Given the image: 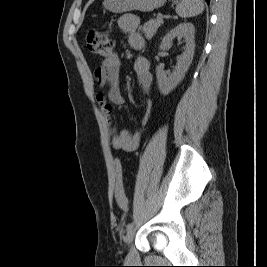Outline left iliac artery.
<instances>
[{
    "mask_svg": "<svg viewBox=\"0 0 267 267\" xmlns=\"http://www.w3.org/2000/svg\"><path fill=\"white\" fill-rule=\"evenodd\" d=\"M132 228H133V223H129V224L127 225L126 230L129 231V230H131Z\"/></svg>",
    "mask_w": 267,
    "mask_h": 267,
    "instance_id": "44dca946",
    "label": "left iliac artery"
}]
</instances>
